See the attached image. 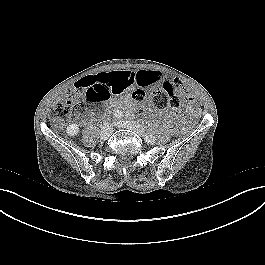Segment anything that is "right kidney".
Instances as JSON below:
<instances>
[{"label":"right kidney","mask_w":265,"mask_h":265,"mask_svg":"<svg viewBox=\"0 0 265 265\" xmlns=\"http://www.w3.org/2000/svg\"><path fill=\"white\" fill-rule=\"evenodd\" d=\"M78 132H79V125H77L75 123L68 125L66 128V133L70 137L76 136L78 134Z\"/></svg>","instance_id":"right-kidney-1"}]
</instances>
